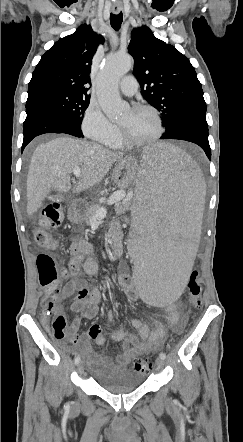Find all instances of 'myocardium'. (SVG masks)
Listing matches in <instances>:
<instances>
[{"instance_id":"f54148a6","label":"myocardium","mask_w":243,"mask_h":442,"mask_svg":"<svg viewBox=\"0 0 243 442\" xmlns=\"http://www.w3.org/2000/svg\"><path fill=\"white\" fill-rule=\"evenodd\" d=\"M131 110L134 112H141V111L152 112L156 121H157V127H158L157 132L153 137H151L149 139L135 141V140L130 139L127 136L124 128L119 125L118 132H119V137H120L121 142L124 145L129 146V147H143V146H147V145L153 144L156 141H158L164 133V124H163V120H162V117H161L159 111L155 107H153L151 105H147V104L136 105V106L132 107Z\"/></svg>"}]
</instances>
